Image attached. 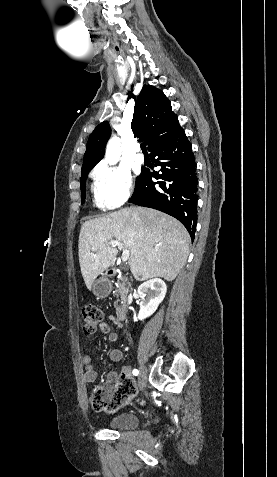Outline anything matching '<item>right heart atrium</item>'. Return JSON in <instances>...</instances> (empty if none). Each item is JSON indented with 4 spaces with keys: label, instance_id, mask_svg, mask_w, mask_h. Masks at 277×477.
<instances>
[{
    "label": "right heart atrium",
    "instance_id": "obj_1",
    "mask_svg": "<svg viewBox=\"0 0 277 477\" xmlns=\"http://www.w3.org/2000/svg\"><path fill=\"white\" fill-rule=\"evenodd\" d=\"M96 189L101 202L109 209L125 204L133 192L128 170L120 166L99 164L94 170Z\"/></svg>",
    "mask_w": 277,
    "mask_h": 477
}]
</instances>
